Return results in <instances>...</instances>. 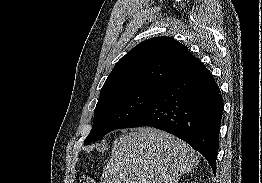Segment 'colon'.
Wrapping results in <instances>:
<instances>
[{
    "label": "colon",
    "mask_w": 262,
    "mask_h": 183,
    "mask_svg": "<svg viewBox=\"0 0 262 183\" xmlns=\"http://www.w3.org/2000/svg\"><path fill=\"white\" fill-rule=\"evenodd\" d=\"M79 183H96V182L89 176H82L79 179Z\"/></svg>",
    "instance_id": "colon-1"
}]
</instances>
